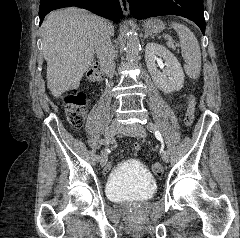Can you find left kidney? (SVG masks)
<instances>
[{
	"instance_id": "1",
	"label": "left kidney",
	"mask_w": 240,
	"mask_h": 238,
	"mask_svg": "<svg viewBox=\"0 0 240 238\" xmlns=\"http://www.w3.org/2000/svg\"><path fill=\"white\" fill-rule=\"evenodd\" d=\"M163 58L166 68L160 72L155 61ZM145 62L155 85L164 93L179 91L184 84V73L177 58L164 46L150 42L145 48Z\"/></svg>"
}]
</instances>
